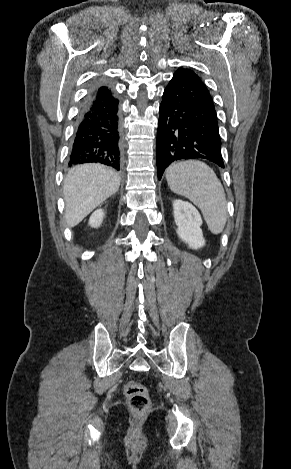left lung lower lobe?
Instances as JSON below:
<instances>
[{"label":"left lung lower lobe","mask_w":291,"mask_h":469,"mask_svg":"<svg viewBox=\"0 0 291 469\" xmlns=\"http://www.w3.org/2000/svg\"><path fill=\"white\" fill-rule=\"evenodd\" d=\"M203 158L224 168L212 97L199 78L178 69L160 104L156 161L158 179L173 162Z\"/></svg>","instance_id":"obj_1"}]
</instances>
